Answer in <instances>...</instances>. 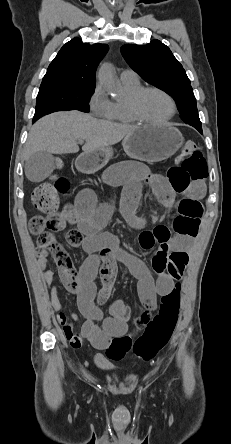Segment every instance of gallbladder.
Returning <instances> with one entry per match:
<instances>
[{
  "label": "gallbladder",
  "mask_w": 231,
  "mask_h": 444,
  "mask_svg": "<svg viewBox=\"0 0 231 444\" xmlns=\"http://www.w3.org/2000/svg\"><path fill=\"white\" fill-rule=\"evenodd\" d=\"M25 174L32 182H40L54 170V159L51 153L39 151L32 154L25 163Z\"/></svg>",
  "instance_id": "obj_1"
}]
</instances>
